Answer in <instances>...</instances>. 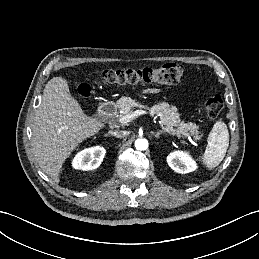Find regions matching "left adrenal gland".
Masks as SVG:
<instances>
[{
  "instance_id": "a2214340",
  "label": "left adrenal gland",
  "mask_w": 259,
  "mask_h": 259,
  "mask_svg": "<svg viewBox=\"0 0 259 259\" xmlns=\"http://www.w3.org/2000/svg\"><path fill=\"white\" fill-rule=\"evenodd\" d=\"M152 134L154 135V137L159 138V136H160L161 134H165V132L162 131V130H160V131H157L156 133L153 132Z\"/></svg>"
}]
</instances>
